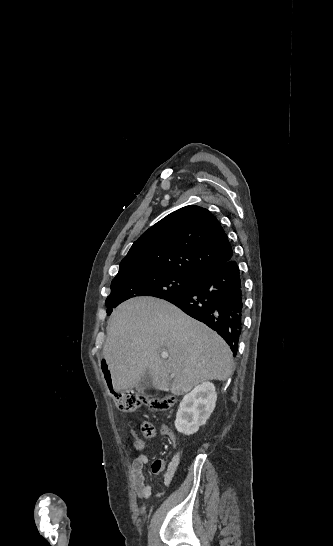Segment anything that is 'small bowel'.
<instances>
[{
	"label": "small bowel",
	"mask_w": 333,
	"mask_h": 546,
	"mask_svg": "<svg viewBox=\"0 0 333 546\" xmlns=\"http://www.w3.org/2000/svg\"><path fill=\"white\" fill-rule=\"evenodd\" d=\"M160 433L168 438L175 446L176 438L173 431L166 425H161ZM134 448L139 451V455L132 462V479L136 495L140 499H149L151 497V487L145 481L144 467L149 463L150 457L146 451L145 442L134 436ZM181 459L180 452L175 450L172 459L168 465L161 459H156L152 463L154 473H164L166 479H171L176 472Z\"/></svg>",
	"instance_id": "obj_1"
}]
</instances>
